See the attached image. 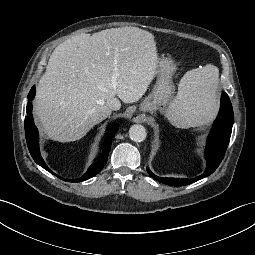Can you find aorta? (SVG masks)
Returning <instances> with one entry per match:
<instances>
[{
    "label": "aorta",
    "instance_id": "aorta-1",
    "mask_svg": "<svg viewBox=\"0 0 255 255\" xmlns=\"http://www.w3.org/2000/svg\"><path fill=\"white\" fill-rule=\"evenodd\" d=\"M146 129L141 124H135L129 129V137L134 142H142L146 138Z\"/></svg>",
    "mask_w": 255,
    "mask_h": 255
}]
</instances>
